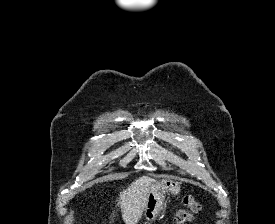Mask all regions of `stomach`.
I'll use <instances>...</instances> for the list:
<instances>
[{
	"label": "stomach",
	"mask_w": 275,
	"mask_h": 224,
	"mask_svg": "<svg viewBox=\"0 0 275 224\" xmlns=\"http://www.w3.org/2000/svg\"><path fill=\"white\" fill-rule=\"evenodd\" d=\"M180 185L177 181L166 178L154 182L150 187L148 201L144 209V217L147 222H152L160 214L164 206L165 195L178 194Z\"/></svg>",
	"instance_id": "obj_1"
}]
</instances>
